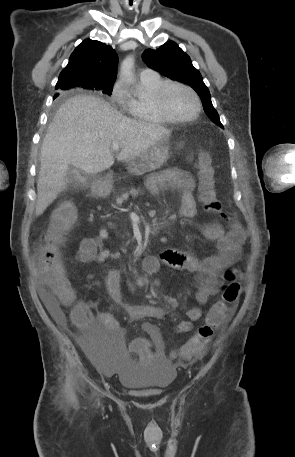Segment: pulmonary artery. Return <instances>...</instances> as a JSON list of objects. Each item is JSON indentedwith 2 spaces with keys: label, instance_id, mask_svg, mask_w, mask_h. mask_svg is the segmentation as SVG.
<instances>
[{
  "label": "pulmonary artery",
  "instance_id": "1",
  "mask_svg": "<svg viewBox=\"0 0 295 457\" xmlns=\"http://www.w3.org/2000/svg\"><path fill=\"white\" fill-rule=\"evenodd\" d=\"M154 75H156V73H155L153 70L148 69V68L143 69V70L140 72V78H148V77H152V76H154Z\"/></svg>",
  "mask_w": 295,
  "mask_h": 457
}]
</instances>
